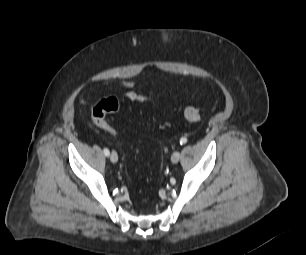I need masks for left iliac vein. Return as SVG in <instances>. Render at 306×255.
Masks as SVG:
<instances>
[{"mask_svg": "<svg viewBox=\"0 0 306 255\" xmlns=\"http://www.w3.org/2000/svg\"><path fill=\"white\" fill-rule=\"evenodd\" d=\"M180 159V153L178 151L174 152L171 156V162L176 164Z\"/></svg>", "mask_w": 306, "mask_h": 255, "instance_id": "left-iliac-vein-1", "label": "left iliac vein"}]
</instances>
